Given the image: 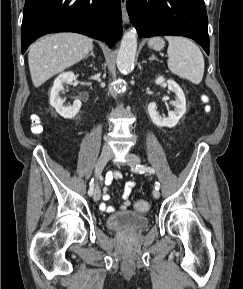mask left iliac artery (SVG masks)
<instances>
[{"label": "left iliac artery", "mask_w": 243, "mask_h": 289, "mask_svg": "<svg viewBox=\"0 0 243 289\" xmlns=\"http://www.w3.org/2000/svg\"><path fill=\"white\" fill-rule=\"evenodd\" d=\"M134 170L136 172H139V173H144V172H149L151 174L155 173V171L152 167L145 166V165H137ZM155 189H157V190L160 189V183L157 181L155 182Z\"/></svg>", "instance_id": "44dca946"}]
</instances>
